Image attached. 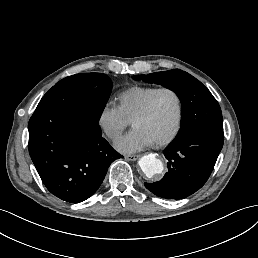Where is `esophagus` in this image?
<instances>
[{
	"mask_svg": "<svg viewBox=\"0 0 258 258\" xmlns=\"http://www.w3.org/2000/svg\"><path fill=\"white\" fill-rule=\"evenodd\" d=\"M140 157L141 155H127L125 156V160H137Z\"/></svg>",
	"mask_w": 258,
	"mask_h": 258,
	"instance_id": "1",
	"label": "esophagus"
}]
</instances>
